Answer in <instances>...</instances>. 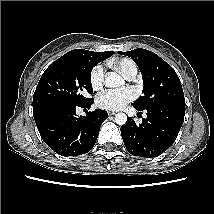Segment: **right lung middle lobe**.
I'll list each match as a JSON object with an SVG mask.
<instances>
[{"label": "right lung middle lobe", "instance_id": "dd1d6c3e", "mask_svg": "<svg viewBox=\"0 0 214 214\" xmlns=\"http://www.w3.org/2000/svg\"><path fill=\"white\" fill-rule=\"evenodd\" d=\"M98 63L85 55L65 54L43 73L33 96V109L54 102L84 103L93 93L91 71Z\"/></svg>", "mask_w": 214, "mask_h": 214}]
</instances>
